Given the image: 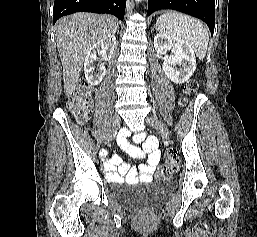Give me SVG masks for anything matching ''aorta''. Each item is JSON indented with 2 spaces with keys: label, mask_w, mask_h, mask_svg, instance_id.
<instances>
[{
  "label": "aorta",
  "mask_w": 257,
  "mask_h": 237,
  "mask_svg": "<svg viewBox=\"0 0 257 237\" xmlns=\"http://www.w3.org/2000/svg\"><path fill=\"white\" fill-rule=\"evenodd\" d=\"M142 0H136V2H141Z\"/></svg>",
  "instance_id": "aorta-1"
}]
</instances>
